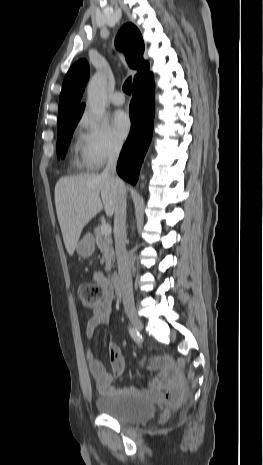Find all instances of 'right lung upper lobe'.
<instances>
[{
	"instance_id": "cb5924a9",
	"label": "right lung upper lobe",
	"mask_w": 263,
	"mask_h": 465,
	"mask_svg": "<svg viewBox=\"0 0 263 465\" xmlns=\"http://www.w3.org/2000/svg\"><path fill=\"white\" fill-rule=\"evenodd\" d=\"M116 47L124 51L129 67L137 69L135 83L149 74V64L143 59L144 42L139 30L132 24L122 26L117 34ZM89 78V65L86 60H79L67 72L59 98L58 122L72 114L84 111L85 104L78 105L85 84Z\"/></svg>"
}]
</instances>
